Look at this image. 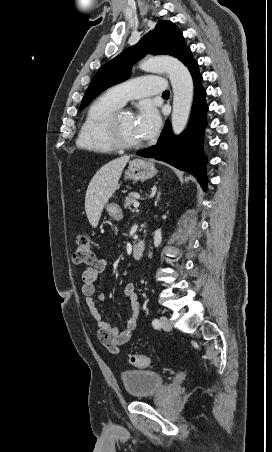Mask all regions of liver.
I'll use <instances>...</instances> for the list:
<instances>
[{
    "mask_svg": "<svg viewBox=\"0 0 272 452\" xmlns=\"http://www.w3.org/2000/svg\"><path fill=\"white\" fill-rule=\"evenodd\" d=\"M130 156L116 158L102 166L90 181L85 196V211L92 227L96 228L102 210L118 188V181Z\"/></svg>",
    "mask_w": 272,
    "mask_h": 452,
    "instance_id": "obj_1",
    "label": "liver"
}]
</instances>
